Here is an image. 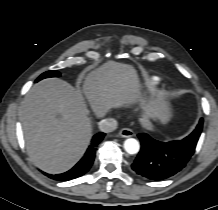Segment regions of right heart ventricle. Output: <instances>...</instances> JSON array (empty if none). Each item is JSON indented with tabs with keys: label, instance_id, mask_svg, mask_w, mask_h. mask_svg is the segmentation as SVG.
Instances as JSON below:
<instances>
[{
	"label": "right heart ventricle",
	"instance_id": "right-heart-ventricle-1",
	"mask_svg": "<svg viewBox=\"0 0 218 210\" xmlns=\"http://www.w3.org/2000/svg\"><path fill=\"white\" fill-rule=\"evenodd\" d=\"M146 86L148 89H154L156 87V82L153 80H149L146 82Z\"/></svg>",
	"mask_w": 218,
	"mask_h": 210
}]
</instances>
